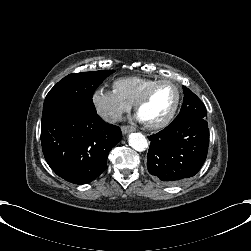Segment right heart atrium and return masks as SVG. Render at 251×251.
<instances>
[{
    "instance_id": "right-heart-atrium-1",
    "label": "right heart atrium",
    "mask_w": 251,
    "mask_h": 251,
    "mask_svg": "<svg viewBox=\"0 0 251 251\" xmlns=\"http://www.w3.org/2000/svg\"><path fill=\"white\" fill-rule=\"evenodd\" d=\"M91 103L95 112L107 123L113 124L129 111L132 105L123 101L114 90L98 88L91 93Z\"/></svg>"
}]
</instances>
